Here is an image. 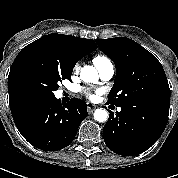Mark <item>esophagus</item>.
I'll return each instance as SVG.
<instances>
[{
  "label": "esophagus",
  "instance_id": "34e87169",
  "mask_svg": "<svg viewBox=\"0 0 178 178\" xmlns=\"http://www.w3.org/2000/svg\"><path fill=\"white\" fill-rule=\"evenodd\" d=\"M95 108H96V106L94 104L87 103V111H88L89 114H91L94 111Z\"/></svg>",
  "mask_w": 178,
  "mask_h": 178
}]
</instances>
